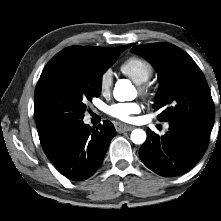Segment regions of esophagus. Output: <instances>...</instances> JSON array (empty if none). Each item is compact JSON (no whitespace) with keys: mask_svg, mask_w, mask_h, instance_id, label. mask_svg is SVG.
Listing matches in <instances>:
<instances>
[{"mask_svg":"<svg viewBox=\"0 0 221 221\" xmlns=\"http://www.w3.org/2000/svg\"><path fill=\"white\" fill-rule=\"evenodd\" d=\"M115 128H116L117 132L123 133V132L131 131L135 127L134 126H130V125H124V124L116 122L115 123Z\"/></svg>","mask_w":221,"mask_h":221,"instance_id":"34e87169","label":"esophagus"}]
</instances>
